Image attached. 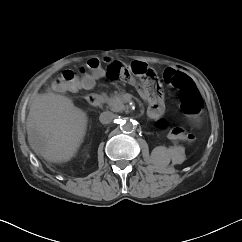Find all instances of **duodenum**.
<instances>
[{"mask_svg": "<svg viewBox=\"0 0 242 242\" xmlns=\"http://www.w3.org/2000/svg\"><path fill=\"white\" fill-rule=\"evenodd\" d=\"M87 103L92 107H98L102 103V97L96 93H90L86 97Z\"/></svg>", "mask_w": 242, "mask_h": 242, "instance_id": "duodenum-1", "label": "duodenum"}]
</instances>
